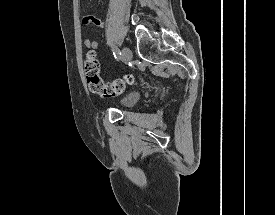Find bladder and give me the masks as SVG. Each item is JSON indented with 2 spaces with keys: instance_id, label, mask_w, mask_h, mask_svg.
I'll list each match as a JSON object with an SVG mask.
<instances>
[{
  "instance_id": "bladder-1",
  "label": "bladder",
  "mask_w": 275,
  "mask_h": 215,
  "mask_svg": "<svg viewBox=\"0 0 275 215\" xmlns=\"http://www.w3.org/2000/svg\"><path fill=\"white\" fill-rule=\"evenodd\" d=\"M137 101V94L136 93H128L124 95L121 99V103L125 107H132Z\"/></svg>"
}]
</instances>
